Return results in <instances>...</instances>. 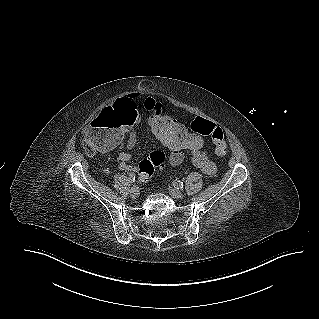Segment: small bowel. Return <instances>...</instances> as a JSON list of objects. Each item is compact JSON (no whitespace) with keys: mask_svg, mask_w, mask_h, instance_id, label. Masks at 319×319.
Here are the masks:
<instances>
[{"mask_svg":"<svg viewBox=\"0 0 319 319\" xmlns=\"http://www.w3.org/2000/svg\"><path fill=\"white\" fill-rule=\"evenodd\" d=\"M143 108L150 113V116L154 113H164L161 104L152 98H147L144 101ZM139 115L140 110L137 108L136 95H129L118 101H113L112 106L101 108L97 117H91V125L84 131L88 146L96 152H110L117 148L127 135L126 147L128 150L133 149L137 143V129L131 128L129 130V126H137ZM192 123L193 121H189V130H192V134L203 135L198 130L193 129ZM154 137L170 150V165L177 166L183 162L184 152H179L163 143L157 136ZM118 159L121 170H137L130 164L131 155L128 151L120 152ZM190 160L197 169L206 175H213L217 170L216 163L210 153L204 149L200 152H190Z\"/></svg>","mask_w":319,"mask_h":319,"instance_id":"c3829d8e","label":"small bowel"}]
</instances>
